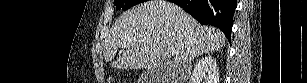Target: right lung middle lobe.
<instances>
[{"label": "right lung middle lobe", "instance_id": "obj_1", "mask_svg": "<svg viewBox=\"0 0 307 83\" xmlns=\"http://www.w3.org/2000/svg\"><path fill=\"white\" fill-rule=\"evenodd\" d=\"M142 2L144 0H115V5L117 9L126 10Z\"/></svg>", "mask_w": 307, "mask_h": 83}]
</instances>
